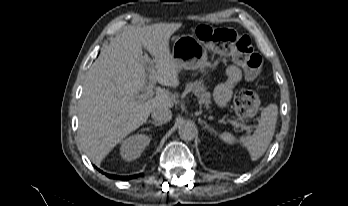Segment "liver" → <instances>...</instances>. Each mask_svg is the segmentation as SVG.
<instances>
[{"instance_id": "obj_1", "label": "liver", "mask_w": 348, "mask_h": 206, "mask_svg": "<svg viewBox=\"0 0 348 206\" xmlns=\"http://www.w3.org/2000/svg\"><path fill=\"white\" fill-rule=\"evenodd\" d=\"M181 23L131 26L105 46L92 65L83 88L79 134L87 156L96 165L123 138L146 122L155 108H171L176 94L157 87L154 97L140 100L148 75L162 86H179L169 48ZM147 50L151 57L143 55Z\"/></svg>"}]
</instances>
